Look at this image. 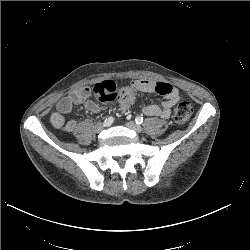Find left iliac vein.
<instances>
[{
  "instance_id": "4c4485c4",
  "label": "left iliac vein",
  "mask_w": 250,
  "mask_h": 250,
  "mask_svg": "<svg viewBox=\"0 0 250 250\" xmlns=\"http://www.w3.org/2000/svg\"><path fill=\"white\" fill-rule=\"evenodd\" d=\"M126 126L132 130H134L135 132L137 133H140L142 132V127L138 124H136L135 122L133 121H129L126 123Z\"/></svg>"
}]
</instances>
